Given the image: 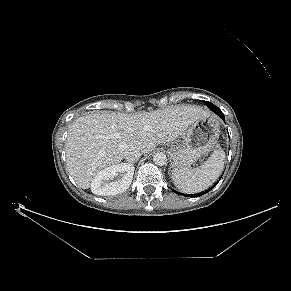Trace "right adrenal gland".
Wrapping results in <instances>:
<instances>
[{"mask_svg":"<svg viewBox=\"0 0 291 291\" xmlns=\"http://www.w3.org/2000/svg\"><path fill=\"white\" fill-rule=\"evenodd\" d=\"M135 162H136V161H133V162L131 163V165L133 166Z\"/></svg>","mask_w":291,"mask_h":291,"instance_id":"1","label":"right adrenal gland"}]
</instances>
